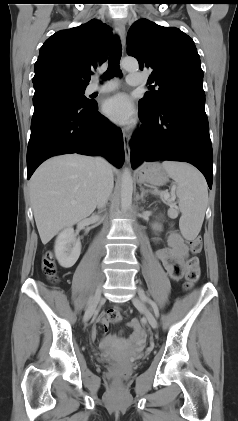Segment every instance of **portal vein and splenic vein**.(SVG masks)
Returning a JSON list of instances; mask_svg holds the SVG:
<instances>
[{
  "label": "portal vein and splenic vein",
  "instance_id": "1",
  "mask_svg": "<svg viewBox=\"0 0 238 421\" xmlns=\"http://www.w3.org/2000/svg\"><path fill=\"white\" fill-rule=\"evenodd\" d=\"M154 194H159L160 196H163L164 198H170V194L168 192H158V191H154ZM175 199V195L172 194V200Z\"/></svg>",
  "mask_w": 238,
  "mask_h": 421
}]
</instances>
